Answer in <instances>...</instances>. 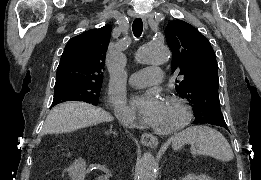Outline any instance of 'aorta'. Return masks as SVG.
Here are the masks:
<instances>
[{"label":"aorta","instance_id":"obj_1","mask_svg":"<svg viewBox=\"0 0 261 180\" xmlns=\"http://www.w3.org/2000/svg\"><path fill=\"white\" fill-rule=\"evenodd\" d=\"M170 58V51L165 46L156 44H145L138 48L135 54V60L143 64H162ZM138 180L156 179V162L153 155L146 152L137 164Z\"/></svg>","mask_w":261,"mask_h":180}]
</instances>
